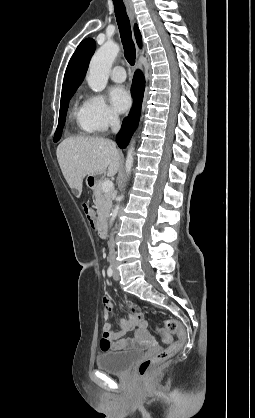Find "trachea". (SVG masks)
I'll return each instance as SVG.
<instances>
[{
	"label": "trachea",
	"instance_id": "trachea-1",
	"mask_svg": "<svg viewBox=\"0 0 255 418\" xmlns=\"http://www.w3.org/2000/svg\"><path fill=\"white\" fill-rule=\"evenodd\" d=\"M113 4L123 44L124 55L128 63L133 66L135 64L136 52L135 45L132 40L131 26L126 12V7L122 0H113Z\"/></svg>",
	"mask_w": 255,
	"mask_h": 418
}]
</instances>
